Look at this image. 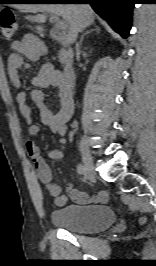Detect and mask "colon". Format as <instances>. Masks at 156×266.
<instances>
[{"mask_svg":"<svg viewBox=\"0 0 156 266\" xmlns=\"http://www.w3.org/2000/svg\"><path fill=\"white\" fill-rule=\"evenodd\" d=\"M18 31V24L15 15L10 10H3L0 13V33L4 40H12Z\"/></svg>","mask_w":156,"mask_h":266,"instance_id":"obj_1","label":"colon"}]
</instances>
